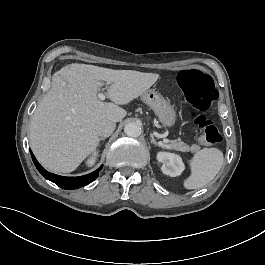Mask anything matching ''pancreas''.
I'll return each mask as SVG.
<instances>
[{
  "label": "pancreas",
  "mask_w": 265,
  "mask_h": 265,
  "mask_svg": "<svg viewBox=\"0 0 265 265\" xmlns=\"http://www.w3.org/2000/svg\"><path fill=\"white\" fill-rule=\"evenodd\" d=\"M172 149L179 150L182 152H196L200 149V146L196 143L187 145L183 141L174 140L170 143Z\"/></svg>",
  "instance_id": "1"
}]
</instances>
